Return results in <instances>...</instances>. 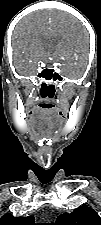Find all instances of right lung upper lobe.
Listing matches in <instances>:
<instances>
[{"label":"right lung upper lobe","instance_id":"right-lung-upper-lobe-1","mask_svg":"<svg viewBox=\"0 0 101 225\" xmlns=\"http://www.w3.org/2000/svg\"><path fill=\"white\" fill-rule=\"evenodd\" d=\"M0 225H37L33 216L14 217L13 215H3L0 219Z\"/></svg>","mask_w":101,"mask_h":225}]
</instances>
